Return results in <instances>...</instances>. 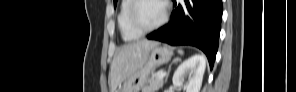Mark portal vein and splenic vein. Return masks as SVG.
I'll return each mask as SVG.
<instances>
[{
  "mask_svg": "<svg viewBox=\"0 0 296 92\" xmlns=\"http://www.w3.org/2000/svg\"><path fill=\"white\" fill-rule=\"evenodd\" d=\"M164 76H165V73H161V74L158 75V79H163Z\"/></svg>",
  "mask_w": 296,
  "mask_h": 92,
  "instance_id": "obj_1",
  "label": "portal vein and splenic vein"
}]
</instances>
